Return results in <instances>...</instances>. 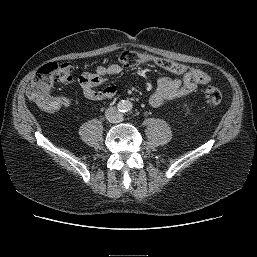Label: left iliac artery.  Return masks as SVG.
Instances as JSON below:
<instances>
[{
    "instance_id": "obj_1",
    "label": "left iliac artery",
    "mask_w": 257,
    "mask_h": 257,
    "mask_svg": "<svg viewBox=\"0 0 257 257\" xmlns=\"http://www.w3.org/2000/svg\"><path fill=\"white\" fill-rule=\"evenodd\" d=\"M131 109H132V104L129 103V104L127 105V110H131Z\"/></svg>"
}]
</instances>
